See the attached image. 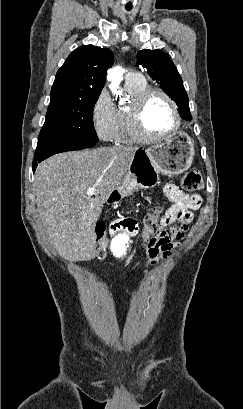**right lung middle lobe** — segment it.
Returning a JSON list of instances; mask_svg holds the SVG:
<instances>
[{"label": "right lung middle lobe", "instance_id": "dd1d6c3e", "mask_svg": "<svg viewBox=\"0 0 243 409\" xmlns=\"http://www.w3.org/2000/svg\"><path fill=\"white\" fill-rule=\"evenodd\" d=\"M96 101L50 102L39 141H98L92 117Z\"/></svg>", "mask_w": 243, "mask_h": 409}]
</instances>
